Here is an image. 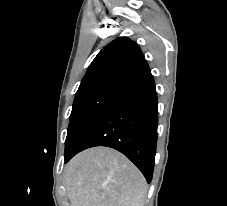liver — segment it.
Segmentation results:
<instances>
[{
  "label": "liver",
  "mask_w": 227,
  "mask_h": 206,
  "mask_svg": "<svg viewBox=\"0 0 227 206\" xmlns=\"http://www.w3.org/2000/svg\"><path fill=\"white\" fill-rule=\"evenodd\" d=\"M71 206H144L147 184L124 155L95 147L76 155L65 168Z\"/></svg>",
  "instance_id": "6515ba94"
}]
</instances>
